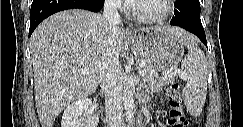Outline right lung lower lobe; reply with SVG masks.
I'll return each instance as SVG.
<instances>
[{"mask_svg":"<svg viewBox=\"0 0 243 127\" xmlns=\"http://www.w3.org/2000/svg\"><path fill=\"white\" fill-rule=\"evenodd\" d=\"M104 0H33L30 14L29 37L35 28L48 16L67 9H85L97 12Z\"/></svg>","mask_w":243,"mask_h":127,"instance_id":"1","label":"right lung lower lobe"}]
</instances>
